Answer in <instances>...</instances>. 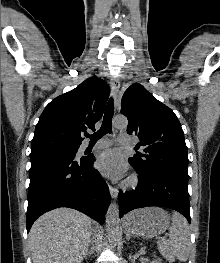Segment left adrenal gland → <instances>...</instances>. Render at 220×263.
<instances>
[{
    "label": "left adrenal gland",
    "mask_w": 220,
    "mask_h": 263,
    "mask_svg": "<svg viewBox=\"0 0 220 263\" xmlns=\"http://www.w3.org/2000/svg\"><path fill=\"white\" fill-rule=\"evenodd\" d=\"M126 234V239L129 240L131 238V235L128 232H125Z\"/></svg>",
    "instance_id": "a2214340"
}]
</instances>
